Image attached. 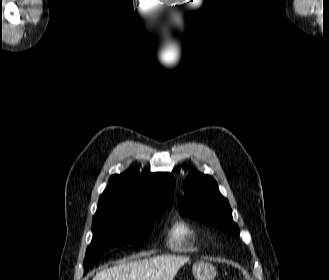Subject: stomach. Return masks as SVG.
Wrapping results in <instances>:
<instances>
[{
    "label": "stomach",
    "mask_w": 329,
    "mask_h": 280,
    "mask_svg": "<svg viewBox=\"0 0 329 280\" xmlns=\"http://www.w3.org/2000/svg\"><path fill=\"white\" fill-rule=\"evenodd\" d=\"M192 272L196 280H214L216 268L206 261H197L192 266Z\"/></svg>",
    "instance_id": "1"
}]
</instances>
